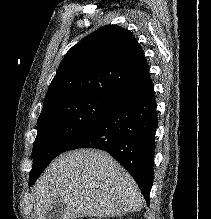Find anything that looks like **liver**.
Listing matches in <instances>:
<instances>
[{
    "label": "liver",
    "instance_id": "liver-1",
    "mask_svg": "<svg viewBox=\"0 0 211 219\" xmlns=\"http://www.w3.org/2000/svg\"><path fill=\"white\" fill-rule=\"evenodd\" d=\"M35 219H45L54 202L63 219L115 217L141 210L143 200L130 174L108 153L95 149L59 155L34 187Z\"/></svg>",
    "mask_w": 211,
    "mask_h": 219
}]
</instances>
